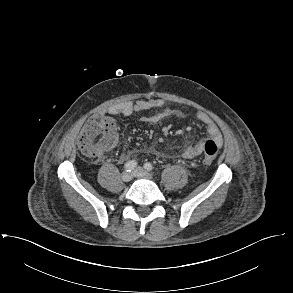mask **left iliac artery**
Returning a JSON list of instances; mask_svg holds the SVG:
<instances>
[{
	"mask_svg": "<svg viewBox=\"0 0 293 293\" xmlns=\"http://www.w3.org/2000/svg\"><path fill=\"white\" fill-rule=\"evenodd\" d=\"M144 168L148 171H152L153 170V166L151 163L147 162L144 164Z\"/></svg>",
	"mask_w": 293,
	"mask_h": 293,
	"instance_id": "obj_1",
	"label": "left iliac artery"
}]
</instances>
